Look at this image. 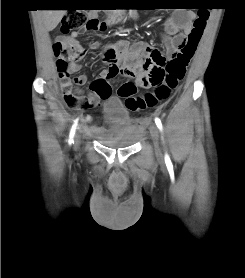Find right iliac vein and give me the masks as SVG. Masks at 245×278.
<instances>
[{
  "label": "right iliac vein",
  "mask_w": 245,
  "mask_h": 278,
  "mask_svg": "<svg viewBox=\"0 0 245 278\" xmlns=\"http://www.w3.org/2000/svg\"><path fill=\"white\" fill-rule=\"evenodd\" d=\"M81 143V132L75 135V149H78Z\"/></svg>",
  "instance_id": "obj_1"
}]
</instances>
